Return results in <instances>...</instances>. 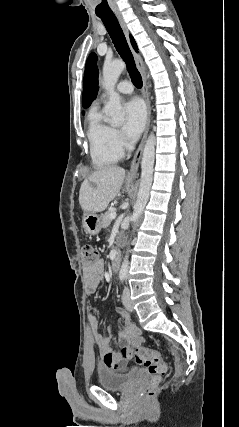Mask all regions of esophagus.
I'll use <instances>...</instances> for the list:
<instances>
[{
	"label": "esophagus",
	"instance_id": "esophagus-1",
	"mask_svg": "<svg viewBox=\"0 0 239 427\" xmlns=\"http://www.w3.org/2000/svg\"><path fill=\"white\" fill-rule=\"evenodd\" d=\"M116 18L129 42V30L127 28L126 22L122 16V14L120 12H116L115 13ZM130 44V42H129ZM131 47V45H130ZM131 51L135 60V63L137 65V68L141 74L142 77V94L144 97V100L146 102V107H147V122H146V128H145V132L143 135V138L137 148V151L133 157V160L131 162V166H130V170L128 172V178H134L137 174L138 168H139V163L142 157V153H143V149H144V145L147 139V135H148V131H149V125H150V114H151V109H150V102H149V93H148V86H147V79H146V74H145V66L143 63V60L141 58V56L131 47Z\"/></svg>",
	"mask_w": 239,
	"mask_h": 427
}]
</instances>
